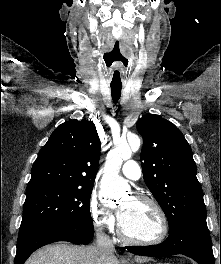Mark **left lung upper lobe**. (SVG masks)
<instances>
[{"label":"left lung upper lobe","mask_w":221,"mask_h":264,"mask_svg":"<svg viewBox=\"0 0 221 264\" xmlns=\"http://www.w3.org/2000/svg\"><path fill=\"white\" fill-rule=\"evenodd\" d=\"M137 130L144 140L140 157L144 181L166 214L169 228L206 224L203 191L184 135L159 115L139 119Z\"/></svg>","instance_id":"obj_1"}]
</instances>
